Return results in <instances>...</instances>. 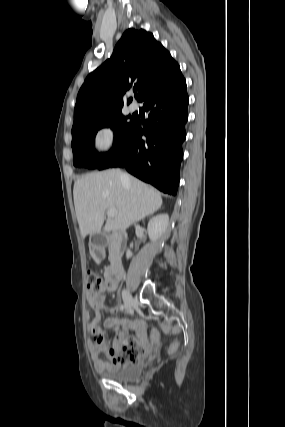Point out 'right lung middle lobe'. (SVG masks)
<instances>
[{
  "mask_svg": "<svg viewBox=\"0 0 285 427\" xmlns=\"http://www.w3.org/2000/svg\"><path fill=\"white\" fill-rule=\"evenodd\" d=\"M128 118L130 121H127ZM134 121V116L125 117L120 110L72 130L73 164L79 167L95 169L119 148L132 128ZM102 127L113 129L114 145L109 153L98 155L94 151V137Z\"/></svg>",
  "mask_w": 285,
  "mask_h": 427,
  "instance_id": "right-lung-middle-lobe-1",
  "label": "right lung middle lobe"
}]
</instances>
